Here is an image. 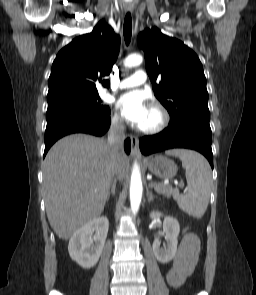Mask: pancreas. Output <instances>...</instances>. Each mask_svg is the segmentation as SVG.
I'll use <instances>...</instances> for the list:
<instances>
[{
    "label": "pancreas",
    "mask_w": 256,
    "mask_h": 295,
    "mask_svg": "<svg viewBox=\"0 0 256 295\" xmlns=\"http://www.w3.org/2000/svg\"><path fill=\"white\" fill-rule=\"evenodd\" d=\"M150 187H153L158 194H162L167 198H170L172 196L175 200H177L180 196L179 190L176 188H172V186L169 185L153 182V185Z\"/></svg>",
    "instance_id": "pancreas-1"
}]
</instances>
